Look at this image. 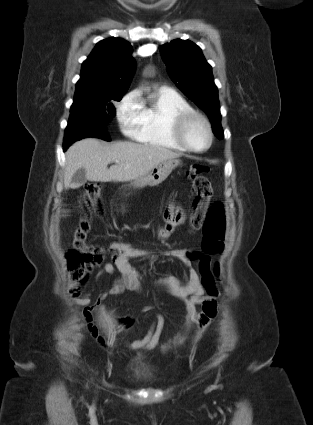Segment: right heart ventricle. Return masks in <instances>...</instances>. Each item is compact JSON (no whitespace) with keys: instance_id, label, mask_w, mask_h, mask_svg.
<instances>
[{"instance_id":"right-heart-ventricle-1","label":"right heart ventricle","mask_w":313,"mask_h":425,"mask_svg":"<svg viewBox=\"0 0 313 425\" xmlns=\"http://www.w3.org/2000/svg\"><path fill=\"white\" fill-rule=\"evenodd\" d=\"M189 110L192 107L177 92L157 89L141 102V122L133 137L149 146L187 151L173 135V122L178 113Z\"/></svg>"}]
</instances>
